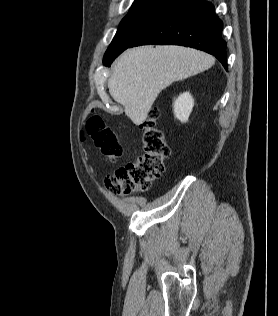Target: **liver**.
<instances>
[{
	"label": "liver",
	"mask_w": 278,
	"mask_h": 316,
	"mask_svg": "<svg viewBox=\"0 0 278 316\" xmlns=\"http://www.w3.org/2000/svg\"><path fill=\"white\" fill-rule=\"evenodd\" d=\"M215 59L180 46H143L125 51L108 81L109 93L131 121L143 123L159 93L173 82L208 70Z\"/></svg>",
	"instance_id": "liver-1"
}]
</instances>
